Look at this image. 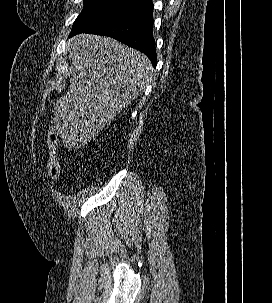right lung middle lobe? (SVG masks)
Returning a JSON list of instances; mask_svg holds the SVG:
<instances>
[{
  "mask_svg": "<svg viewBox=\"0 0 272 303\" xmlns=\"http://www.w3.org/2000/svg\"><path fill=\"white\" fill-rule=\"evenodd\" d=\"M141 9L118 0H84V8L74 22L70 35L82 33L106 22L132 15Z\"/></svg>",
  "mask_w": 272,
  "mask_h": 303,
  "instance_id": "dd1d6c3e",
  "label": "right lung middle lobe"
}]
</instances>
